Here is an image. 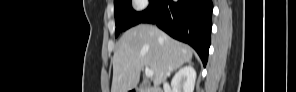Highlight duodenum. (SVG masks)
<instances>
[{
    "label": "duodenum",
    "mask_w": 296,
    "mask_h": 92,
    "mask_svg": "<svg viewBox=\"0 0 296 92\" xmlns=\"http://www.w3.org/2000/svg\"><path fill=\"white\" fill-rule=\"evenodd\" d=\"M131 92H154V91L150 89L143 90L140 88H135V89H132Z\"/></svg>",
    "instance_id": "1"
}]
</instances>
